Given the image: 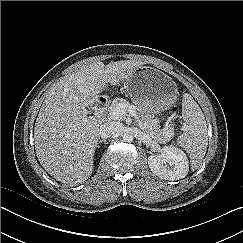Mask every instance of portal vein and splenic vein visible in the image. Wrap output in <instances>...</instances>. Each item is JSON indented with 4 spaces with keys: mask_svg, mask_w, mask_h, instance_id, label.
<instances>
[{
    "mask_svg": "<svg viewBox=\"0 0 243 243\" xmlns=\"http://www.w3.org/2000/svg\"><path fill=\"white\" fill-rule=\"evenodd\" d=\"M126 113H129L131 116H134L136 109L134 105H130L128 108L123 104H118L112 111H110L109 116L111 119H118L119 117L124 116Z\"/></svg>",
    "mask_w": 243,
    "mask_h": 243,
    "instance_id": "18ae733b",
    "label": "portal vein and splenic vein"
}]
</instances>
